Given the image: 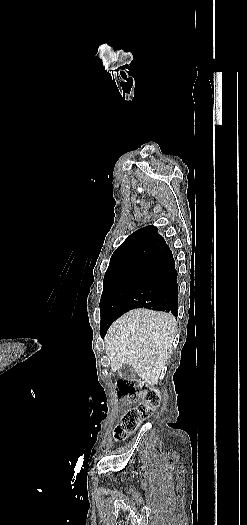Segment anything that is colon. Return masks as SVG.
<instances>
[{"instance_id": "1", "label": "colon", "mask_w": 247, "mask_h": 525, "mask_svg": "<svg viewBox=\"0 0 247 525\" xmlns=\"http://www.w3.org/2000/svg\"><path fill=\"white\" fill-rule=\"evenodd\" d=\"M116 395L119 399L142 400L133 408L127 410L115 432L117 441L124 440L127 435L137 429L139 424L149 418L159 402V393L149 384L129 379H121L116 383Z\"/></svg>"}]
</instances>
